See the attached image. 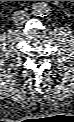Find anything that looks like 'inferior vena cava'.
Here are the masks:
<instances>
[{
    "instance_id": "1",
    "label": "inferior vena cava",
    "mask_w": 74,
    "mask_h": 122,
    "mask_svg": "<svg viewBox=\"0 0 74 122\" xmlns=\"http://www.w3.org/2000/svg\"><path fill=\"white\" fill-rule=\"evenodd\" d=\"M12 18L16 24H23L28 18V13L22 10L16 11Z\"/></svg>"
}]
</instances>
